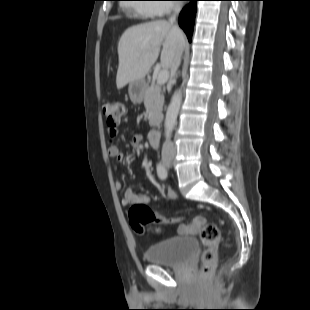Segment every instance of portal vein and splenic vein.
<instances>
[{
  "label": "portal vein and splenic vein",
  "instance_id": "obj_1",
  "mask_svg": "<svg viewBox=\"0 0 310 310\" xmlns=\"http://www.w3.org/2000/svg\"><path fill=\"white\" fill-rule=\"evenodd\" d=\"M169 78V72L168 70L166 69H163L161 70L159 73H158V76H157V84L158 85H163L167 82Z\"/></svg>",
  "mask_w": 310,
  "mask_h": 310
}]
</instances>
